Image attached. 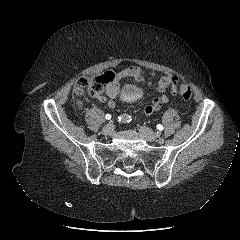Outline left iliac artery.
Instances as JSON below:
<instances>
[{
  "instance_id": "44dca946",
  "label": "left iliac artery",
  "mask_w": 240,
  "mask_h": 240,
  "mask_svg": "<svg viewBox=\"0 0 240 240\" xmlns=\"http://www.w3.org/2000/svg\"><path fill=\"white\" fill-rule=\"evenodd\" d=\"M157 136H158V138L161 139V138L167 137V136H168V133L163 131V132L158 133Z\"/></svg>"
}]
</instances>
